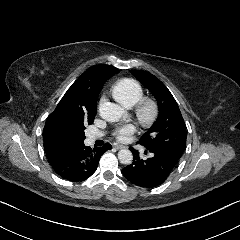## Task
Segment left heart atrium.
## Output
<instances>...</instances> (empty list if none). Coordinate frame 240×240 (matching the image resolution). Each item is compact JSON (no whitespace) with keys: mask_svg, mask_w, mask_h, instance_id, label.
Returning a JSON list of instances; mask_svg holds the SVG:
<instances>
[{"mask_svg":"<svg viewBox=\"0 0 240 240\" xmlns=\"http://www.w3.org/2000/svg\"><path fill=\"white\" fill-rule=\"evenodd\" d=\"M136 128L132 124L124 125L113 133L114 137L120 141V142H125L129 135L133 134L135 132Z\"/></svg>","mask_w":240,"mask_h":240,"instance_id":"39dd6f15","label":"left heart atrium"}]
</instances>
